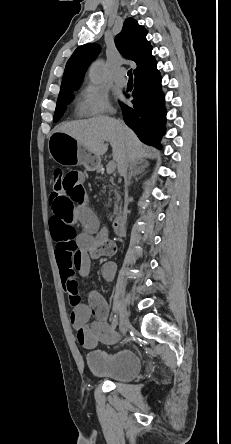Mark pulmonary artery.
<instances>
[{
  "mask_svg": "<svg viewBox=\"0 0 231 444\" xmlns=\"http://www.w3.org/2000/svg\"><path fill=\"white\" fill-rule=\"evenodd\" d=\"M124 73H125L124 70H118L114 77L115 83L120 87H124L127 84V80L125 78Z\"/></svg>",
  "mask_w": 231,
  "mask_h": 444,
  "instance_id": "1",
  "label": "pulmonary artery"
}]
</instances>
